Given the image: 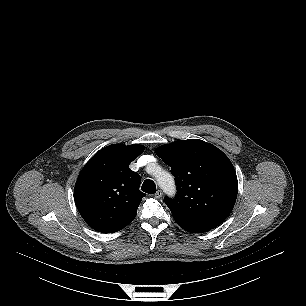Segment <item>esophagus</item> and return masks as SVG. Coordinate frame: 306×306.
Returning a JSON list of instances; mask_svg holds the SVG:
<instances>
[{"label":"esophagus","instance_id":"obj_1","mask_svg":"<svg viewBox=\"0 0 306 306\" xmlns=\"http://www.w3.org/2000/svg\"><path fill=\"white\" fill-rule=\"evenodd\" d=\"M162 195H163V192H162L161 190H158V191L154 194L155 198H157V199L161 198Z\"/></svg>","mask_w":306,"mask_h":306}]
</instances>
